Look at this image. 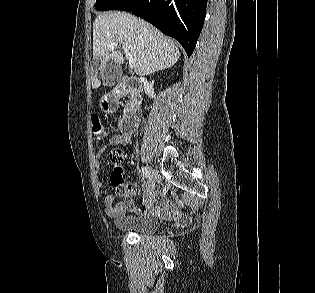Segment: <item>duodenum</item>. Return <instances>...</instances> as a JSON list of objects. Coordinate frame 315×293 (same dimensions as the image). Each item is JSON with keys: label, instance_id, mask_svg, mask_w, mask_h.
Segmentation results:
<instances>
[{"label": "duodenum", "instance_id": "duodenum-1", "mask_svg": "<svg viewBox=\"0 0 315 293\" xmlns=\"http://www.w3.org/2000/svg\"><path fill=\"white\" fill-rule=\"evenodd\" d=\"M135 90L136 89L134 88L132 81L128 80L119 85L115 89V92H118L119 96H124L128 93L134 92ZM141 117L142 110L137 103H134L130 106L127 113L123 116L120 122L121 131L125 134L133 133L137 129L141 121Z\"/></svg>", "mask_w": 315, "mask_h": 293}]
</instances>
